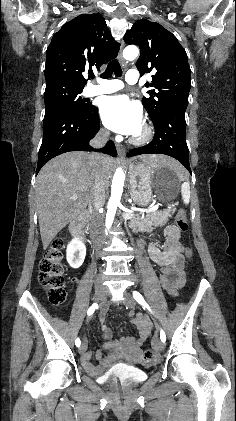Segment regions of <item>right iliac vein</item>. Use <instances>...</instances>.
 <instances>
[{"label":"right iliac vein","mask_w":236,"mask_h":421,"mask_svg":"<svg viewBox=\"0 0 236 421\" xmlns=\"http://www.w3.org/2000/svg\"><path fill=\"white\" fill-rule=\"evenodd\" d=\"M107 293L108 292L105 289L97 286L95 288V292H94V298H93L94 301L95 302H101L105 298V296L107 295ZM85 351H86V344H85V342H83L81 344V346L79 347V353L80 354H83Z\"/></svg>","instance_id":"1"}]
</instances>
